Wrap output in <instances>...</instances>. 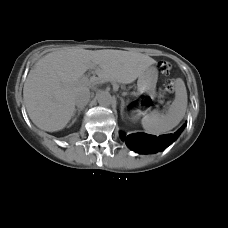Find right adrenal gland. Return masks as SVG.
Wrapping results in <instances>:
<instances>
[{"label":"right adrenal gland","mask_w":228,"mask_h":228,"mask_svg":"<svg viewBox=\"0 0 228 228\" xmlns=\"http://www.w3.org/2000/svg\"><path fill=\"white\" fill-rule=\"evenodd\" d=\"M84 108H77V109H75V111H74V115L76 114V112L78 113V116L80 115V113H81V111L83 110ZM77 120V117L76 118H74L73 119V121H72V123H71V125L72 124H74V122Z\"/></svg>","instance_id":"right-adrenal-gland-1"}]
</instances>
